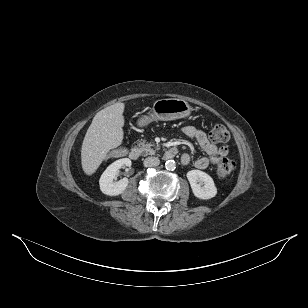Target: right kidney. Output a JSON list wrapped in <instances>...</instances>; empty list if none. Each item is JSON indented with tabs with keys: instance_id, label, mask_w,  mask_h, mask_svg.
Returning <instances> with one entry per match:
<instances>
[{
	"instance_id": "1",
	"label": "right kidney",
	"mask_w": 308,
	"mask_h": 308,
	"mask_svg": "<svg viewBox=\"0 0 308 308\" xmlns=\"http://www.w3.org/2000/svg\"><path fill=\"white\" fill-rule=\"evenodd\" d=\"M123 166L130 167L131 160L128 158L119 159L108 166L103 172L99 180L100 190L102 193L109 196H117L124 192L129 183L128 179L123 178L118 182H114L117 173Z\"/></svg>"
}]
</instances>
